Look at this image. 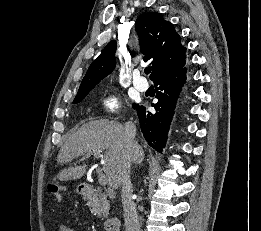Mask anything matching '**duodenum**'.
Returning <instances> with one entry per match:
<instances>
[{"label": "duodenum", "instance_id": "410a0bca", "mask_svg": "<svg viewBox=\"0 0 261 231\" xmlns=\"http://www.w3.org/2000/svg\"><path fill=\"white\" fill-rule=\"evenodd\" d=\"M80 193L84 196H91L95 193V188L92 185H82L80 186ZM106 229L108 231H119L120 221L118 218H110L106 224Z\"/></svg>", "mask_w": 261, "mask_h": 231}]
</instances>
